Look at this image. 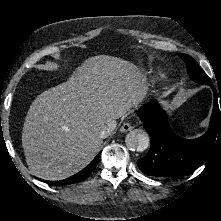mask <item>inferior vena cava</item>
I'll return each mask as SVG.
<instances>
[{
    "instance_id": "1",
    "label": "inferior vena cava",
    "mask_w": 221,
    "mask_h": 221,
    "mask_svg": "<svg viewBox=\"0 0 221 221\" xmlns=\"http://www.w3.org/2000/svg\"><path fill=\"white\" fill-rule=\"evenodd\" d=\"M115 127H116V124H114V123H111L108 126H104L103 129L100 131V135L99 136L101 138L108 137L109 135H111L113 133Z\"/></svg>"
}]
</instances>
